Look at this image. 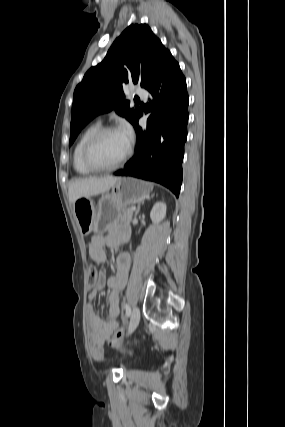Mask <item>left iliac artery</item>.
Segmentation results:
<instances>
[{
    "label": "left iliac artery",
    "instance_id": "44dca946",
    "mask_svg": "<svg viewBox=\"0 0 285 427\" xmlns=\"http://www.w3.org/2000/svg\"><path fill=\"white\" fill-rule=\"evenodd\" d=\"M124 308L126 310V318H128L131 314V308L127 303H124Z\"/></svg>",
    "mask_w": 285,
    "mask_h": 427
}]
</instances>
